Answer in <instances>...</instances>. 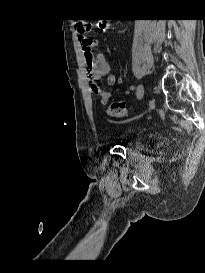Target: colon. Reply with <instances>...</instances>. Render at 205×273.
Returning a JSON list of instances; mask_svg holds the SVG:
<instances>
[{
  "instance_id": "5ec220e1",
  "label": "colon",
  "mask_w": 205,
  "mask_h": 273,
  "mask_svg": "<svg viewBox=\"0 0 205 273\" xmlns=\"http://www.w3.org/2000/svg\"><path fill=\"white\" fill-rule=\"evenodd\" d=\"M75 28L79 35H84L90 31L91 24L82 20H77L75 22ZM92 88L94 92L98 94L104 92L102 87L98 84H93ZM127 112L128 108L125 102H114L107 109V113L111 117H124L127 115Z\"/></svg>"
}]
</instances>
